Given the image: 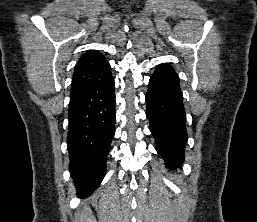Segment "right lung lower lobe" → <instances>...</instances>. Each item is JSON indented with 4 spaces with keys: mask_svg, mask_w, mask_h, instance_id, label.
<instances>
[{
    "mask_svg": "<svg viewBox=\"0 0 257 222\" xmlns=\"http://www.w3.org/2000/svg\"><path fill=\"white\" fill-rule=\"evenodd\" d=\"M67 137L69 170L78 194L101 183L115 133V93L111 72L96 84L71 94Z\"/></svg>",
    "mask_w": 257,
    "mask_h": 222,
    "instance_id": "1",
    "label": "right lung lower lobe"
}]
</instances>
